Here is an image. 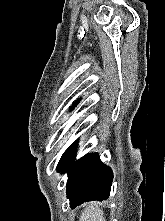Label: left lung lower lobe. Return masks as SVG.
Wrapping results in <instances>:
<instances>
[{"label":"left lung lower lobe","mask_w":165,"mask_h":221,"mask_svg":"<svg viewBox=\"0 0 165 221\" xmlns=\"http://www.w3.org/2000/svg\"><path fill=\"white\" fill-rule=\"evenodd\" d=\"M75 141L62 155L57 169L68 171L67 198L71 208L90 200H104L109 197L113 180L112 170L104 165L97 153L85 155L74 162Z\"/></svg>","instance_id":"0a47b994"}]
</instances>
